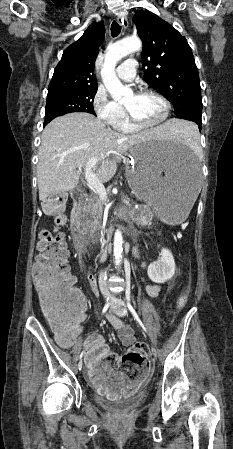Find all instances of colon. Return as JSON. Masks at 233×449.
<instances>
[{"mask_svg":"<svg viewBox=\"0 0 233 449\" xmlns=\"http://www.w3.org/2000/svg\"><path fill=\"white\" fill-rule=\"evenodd\" d=\"M66 201V196L57 195L44 203L45 213L58 225L65 222ZM39 250L40 254L33 269V279L40 293L44 313L55 326L61 322H68L74 327L73 324L82 318L84 296L75 286L67 265L68 251L62 235H52L48 230H44ZM186 302L187 295L184 294L178 299L177 307L183 308ZM147 352L148 346L145 343H136L134 350L123 355L120 361L121 369L129 375H134L135 368H146Z\"/></svg>","mask_w":233,"mask_h":449,"instance_id":"obj_1","label":"colon"}]
</instances>
